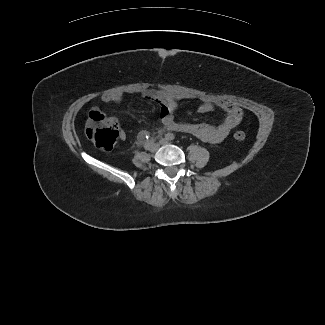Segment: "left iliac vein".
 I'll return each mask as SVG.
<instances>
[{"mask_svg": "<svg viewBox=\"0 0 325 325\" xmlns=\"http://www.w3.org/2000/svg\"><path fill=\"white\" fill-rule=\"evenodd\" d=\"M169 141H168V139H166V138H163V139H161L160 140V144H162V145H165V144H167Z\"/></svg>", "mask_w": 325, "mask_h": 325, "instance_id": "left-iliac-vein-1", "label": "left iliac vein"}]
</instances>
